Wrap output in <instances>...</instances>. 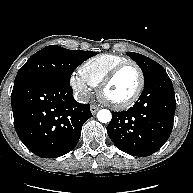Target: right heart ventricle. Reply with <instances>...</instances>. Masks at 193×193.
Wrapping results in <instances>:
<instances>
[{
    "label": "right heart ventricle",
    "mask_w": 193,
    "mask_h": 193,
    "mask_svg": "<svg viewBox=\"0 0 193 193\" xmlns=\"http://www.w3.org/2000/svg\"><path fill=\"white\" fill-rule=\"evenodd\" d=\"M129 61L114 54H100L84 61L79 74L92 87H98L103 78L117 65Z\"/></svg>",
    "instance_id": "1"
}]
</instances>
